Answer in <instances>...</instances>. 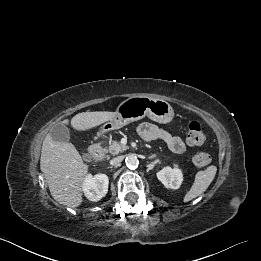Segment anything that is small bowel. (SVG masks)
Returning a JSON list of instances; mask_svg holds the SVG:
<instances>
[{
  "label": "small bowel",
  "instance_id": "c3829d8e",
  "mask_svg": "<svg viewBox=\"0 0 261 261\" xmlns=\"http://www.w3.org/2000/svg\"><path fill=\"white\" fill-rule=\"evenodd\" d=\"M138 132L146 141L163 140L174 153L183 154L187 150L185 142L180 137L173 136L154 124L143 123L139 126Z\"/></svg>",
  "mask_w": 261,
  "mask_h": 261
}]
</instances>
